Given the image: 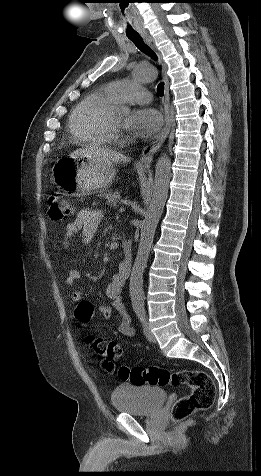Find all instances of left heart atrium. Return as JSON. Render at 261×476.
<instances>
[{
  "label": "left heart atrium",
  "instance_id": "39dd6f15",
  "mask_svg": "<svg viewBox=\"0 0 261 476\" xmlns=\"http://www.w3.org/2000/svg\"><path fill=\"white\" fill-rule=\"evenodd\" d=\"M125 125L133 133L149 137L160 129L162 117L157 110L143 107L134 110L127 118Z\"/></svg>",
  "mask_w": 261,
  "mask_h": 476
}]
</instances>
